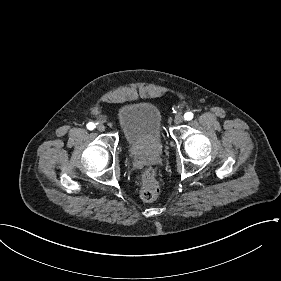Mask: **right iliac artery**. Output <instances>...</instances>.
I'll return each instance as SVG.
<instances>
[{
  "label": "right iliac artery",
  "instance_id": "right-iliac-artery-1",
  "mask_svg": "<svg viewBox=\"0 0 281 281\" xmlns=\"http://www.w3.org/2000/svg\"><path fill=\"white\" fill-rule=\"evenodd\" d=\"M87 128H88L89 130H93V129L95 128V124L92 123V122H90V123L87 124Z\"/></svg>",
  "mask_w": 281,
  "mask_h": 281
}]
</instances>
